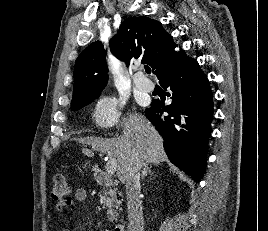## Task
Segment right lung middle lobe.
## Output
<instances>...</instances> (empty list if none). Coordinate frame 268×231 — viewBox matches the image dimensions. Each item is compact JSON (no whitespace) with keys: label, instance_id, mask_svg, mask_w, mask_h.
<instances>
[{"label":"right lung middle lobe","instance_id":"1","mask_svg":"<svg viewBox=\"0 0 268 231\" xmlns=\"http://www.w3.org/2000/svg\"><path fill=\"white\" fill-rule=\"evenodd\" d=\"M94 99H90V100H85V101H81L78 102L76 104L71 105V110L76 111L81 109L82 107L88 105L89 103H91Z\"/></svg>","mask_w":268,"mask_h":231}]
</instances>
